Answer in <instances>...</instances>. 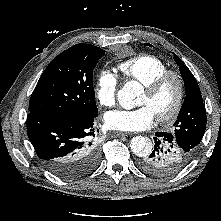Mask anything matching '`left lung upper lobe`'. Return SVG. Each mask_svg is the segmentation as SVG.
<instances>
[{
    "mask_svg": "<svg viewBox=\"0 0 221 221\" xmlns=\"http://www.w3.org/2000/svg\"><path fill=\"white\" fill-rule=\"evenodd\" d=\"M174 60L184 80L186 97L174 123L173 134L188 148L187 151L194 154L206 129L205 105L197 81L189 68L175 54Z\"/></svg>",
    "mask_w": 221,
    "mask_h": 221,
    "instance_id": "left-lung-upper-lobe-1",
    "label": "left lung upper lobe"
}]
</instances>
